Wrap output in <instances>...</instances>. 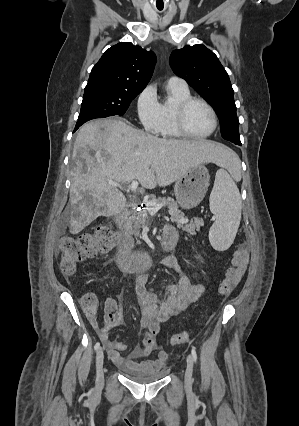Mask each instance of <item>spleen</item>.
<instances>
[{
    "label": "spleen",
    "mask_w": 299,
    "mask_h": 426,
    "mask_svg": "<svg viewBox=\"0 0 299 426\" xmlns=\"http://www.w3.org/2000/svg\"><path fill=\"white\" fill-rule=\"evenodd\" d=\"M216 220L209 230V241L218 251L233 243L241 220V196L233 178L225 169L217 171L209 198Z\"/></svg>",
    "instance_id": "3e777b00"
}]
</instances>
